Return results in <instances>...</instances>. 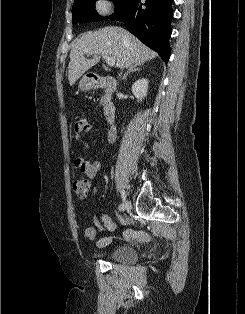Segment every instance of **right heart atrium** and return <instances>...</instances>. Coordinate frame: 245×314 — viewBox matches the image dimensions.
Wrapping results in <instances>:
<instances>
[{
  "instance_id": "d8ad5b80",
  "label": "right heart atrium",
  "mask_w": 245,
  "mask_h": 314,
  "mask_svg": "<svg viewBox=\"0 0 245 314\" xmlns=\"http://www.w3.org/2000/svg\"><path fill=\"white\" fill-rule=\"evenodd\" d=\"M94 7L95 10L101 15L108 14L111 10V6L108 0H96L94 2Z\"/></svg>"
}]
</instances>
